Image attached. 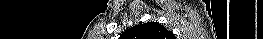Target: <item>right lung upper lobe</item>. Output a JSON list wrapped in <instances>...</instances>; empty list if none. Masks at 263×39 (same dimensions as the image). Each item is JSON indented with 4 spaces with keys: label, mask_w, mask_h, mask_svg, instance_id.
I'll return each mask as SVG.
<instances>
[{
    "label": "right lung upper lobe",
    "mask_w": 263,
    "mask_h": 39,
    "mask_svg": "<svg viewBox=\"0 0 263 39\" xmlns=\"http://www.w3.org/2000/svg\"><path fill=\"white\" fill-rule=\"evenodd\" d=\"M136 39H173L172 32L166 30L157 22H149L140 24L126 30L121 37Z\"/></svg>",
    "instance_id": "cb5924a9"
}]
</instances>
